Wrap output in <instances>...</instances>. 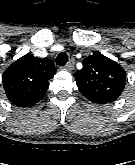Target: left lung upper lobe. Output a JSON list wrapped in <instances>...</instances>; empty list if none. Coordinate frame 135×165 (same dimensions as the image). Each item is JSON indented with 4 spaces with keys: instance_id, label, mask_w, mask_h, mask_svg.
Masks as SVG:
<instances>
[{
    "instance_id": "obj_1",
    "label": "left lung upper lobe",
    "mask_w": 135,
    "mask_h": 165,
    "mask_svg": "<svg viewBox=\"0 0 135 165\" xmlns=\"http://www.w3.org/2000/svg\"><path fill=\"white\" fill-rule=\"evenodd\" d=\"M80 92L100 104L116 100L124 89L126 72L115 61L100 52L86 57L83 68L75 73Z\"/></svg>"
}]
</instances>
